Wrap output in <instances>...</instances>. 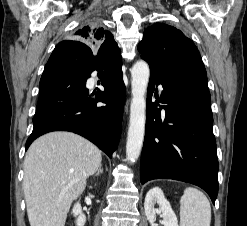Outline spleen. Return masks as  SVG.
<instances>
[{"label":"spleen","mask_w":247,"mask_h":226,"mask_svg":"<svg viewBox=\"0 0 247 226\" xmlns=\"http://www.w3.org/2000/svg\"><path fill=\"white\" fill-rule=\"evenodd\" d=\"M211 206L207 197L196 188L188 187L180 200L181 226H210Z\"/></svg>","instance_id":"3e777b00"}]
</instances>
